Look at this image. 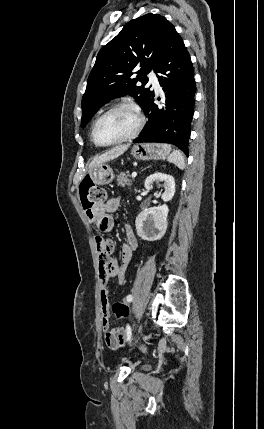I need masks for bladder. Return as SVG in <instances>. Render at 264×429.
<instances>
[{
	"label": "bladder",
	"mask_w": 264,
	"mask_h": 429,
	"mask_svg": "<svg viewBox=\"0 0 264 429\" xmlns=\"http://www.w3.org/2000/svg\"><path fill=\"white\" fill-rule=\"evenodd\" d=\"M151 367L149 366V365H144L143 367H142V370H149Z\"/></svg>",
	"instance_id": "31cf9c89"
}]
</instances>
